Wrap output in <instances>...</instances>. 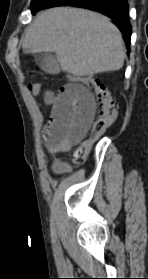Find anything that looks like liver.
Listing matches in <instances>:
<instances>
[{"mask_svg":"<svg viewBox=\"0 0 148 279\" xmlns=\"http://www.w3.org/2000/svg\"><path fill=\"white\" fill-rule=\"evenodd\" d=\"M22 48L25 53L55 52L62 70L74 76L116 71L125 59L121 33L107 17L71 7L42 12Z\"/></svg>","mask_w":148,"mask_h":279,"instance_id":"liver-1","label":"liver"}]
</instances>
